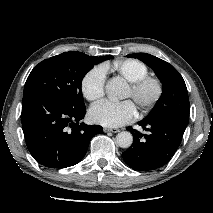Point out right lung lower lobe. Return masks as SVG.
<instances>
[{
  "instance_id": "right-lung-lower-lobe-1",
  "label": "right lung lower lobe",
  "mask_w": 213,
  "mask_h": 213,
  "mask_svg": "<svg viewBox=\"0 0 213 213\" xmlns=\"http://www.w3.org/2000/svg\"><path fill=\"white\" fill-rule=\"evenodd\" d=\"M85 114L86 108L70 110L39 92L24 94L22 128L34 159L45 167L57 169L80 162L91 138L103 132L99 125L81 123Z\"/></svg>"
}]
</instances>
